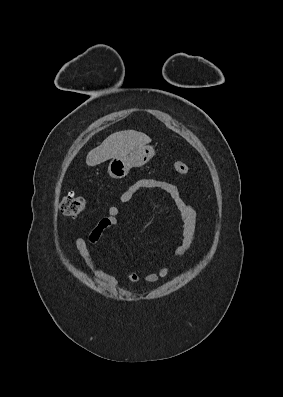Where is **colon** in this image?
Masks as SVG:
<instances>
[{
	"label": "colon",
	"mask_w": 283,
	"mask_h": 397,
	"mask_svg": "<svg viewBox=\"0 0 283 397\" xmlns=\"http://www.w3.org/2000/svg\"><path fill=\"white\" fill-rule=\"evenodd\" d=\"M173 169L179 175H185L189 171L187 164L181 161L173 163ZM84 208V198L75 195L74 193L66 195L60 204V210L65 216H77L84 210Z\"/></svg>",
	"instance_id": "1"
}]
</instances>
